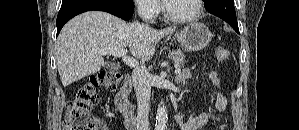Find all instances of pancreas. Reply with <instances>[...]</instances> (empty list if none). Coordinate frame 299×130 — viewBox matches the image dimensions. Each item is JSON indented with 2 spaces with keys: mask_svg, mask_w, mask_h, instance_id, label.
Listing matches in <instances>:
<instances>
[{
  "mask_svg": "<svg viewBox=\"0 0 299 130\" xmlns=\"http://www.w3.org/2000/svg\"><path fill=\"white\" fill-rule=\"evenodd\" d=\"M169 57L174 60V63H175L176 67H183L184 66L185 55H184V53L182 51H180V50L173 51V52L169 53Z\"/></svg>",
  "mask_w": 299,
  "mask_h": 130,
  "instance_id": "cf45deb5",
  "label": "pancreas"
}]
</instances>
